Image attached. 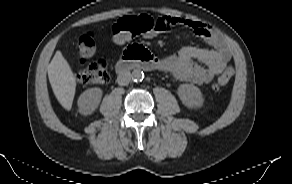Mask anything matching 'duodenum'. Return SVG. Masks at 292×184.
<instances>
[{
  "instance_id": "410a0bca",
  "label": "duodenum",
  "mask_w": 292,
  "mask_h": 184,
  "mask_svg": "<svg viewBox=\"0 0 292 184\" xmlns=\"http://www.w3.org/2000/svg\"><path fill=\"white\" fill-rule=\"evenodd\" d=\"M162 66V61L149 53L144 47L136 46L124 53V57L116 65L117 74H123L131 67L142 70L156 69Z\"/></svg>"
}]
</instances>
